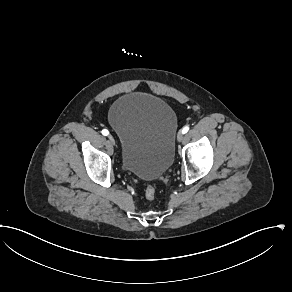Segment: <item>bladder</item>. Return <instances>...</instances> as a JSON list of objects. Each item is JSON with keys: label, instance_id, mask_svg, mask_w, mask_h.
I'll list each match as a JSON object with an SVG mask.
<instances>
[{"label": "bladder", "instance_id": "obj_1", "mask_svg": "<svg viewBox=\"0 0 292 292\" xmlns=\"http://www.w3.org/2000/svg\"><path fill=\"white\" fill-rule=\"evenodd\" d=\"M108 120L119 137L126 172L151 180L169 169L178 121L165 100L143 92L123 94L112 104Z\"/></svg>", "mask_w": 292, "mask_h": 292}]
</instances>
